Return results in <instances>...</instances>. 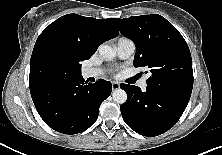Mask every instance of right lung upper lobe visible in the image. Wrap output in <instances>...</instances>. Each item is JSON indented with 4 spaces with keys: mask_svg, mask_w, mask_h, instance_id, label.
<instances>
[{
    "mask_svg": "<svg viewBox=\"0 0 222 155\" xmlns=\"http://www.w3.org/2000/svg\"><path fill=\"white\" fill-rule=\"evenodd\" d=\"M115 18L95 19L77 14H67L39 35L30 61L29 85L32 94L50 89L62 79L72 78L65 63L53 54L58 44L80 62L89 59L100 44L119 34Z\"/></svg>",
    "mask_w": 222,
    "mask_h": 155,
    "instance_id": "1",
    "label": "right lung upper lobe"
}]
</instances>
